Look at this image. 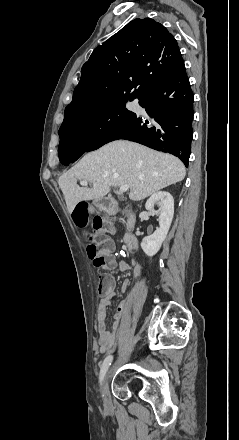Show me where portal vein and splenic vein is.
I'll list each match as a JSON object with an SVG mask.
<instances>
[{
    "label": "portal vein and splenic vein",
    "mask_w": 239,
    "mask_h": 440,
    "mask_svg": "<svg viewBox=\"0 0 239 440\" xmlns=\"http://www.w3.org/2000/svg\"><path fill=\"white\" fill-rule=\"evenodd\" d=\"M81 186H88V182H85V180H82V182H80ZM130 186H128V184H125V186H121L120 188V192H127V190H129Z\"/></svg>",
    "instance_id": "portal-vein-and-splenic-vein-1"
}]
</instances>
